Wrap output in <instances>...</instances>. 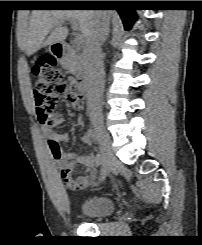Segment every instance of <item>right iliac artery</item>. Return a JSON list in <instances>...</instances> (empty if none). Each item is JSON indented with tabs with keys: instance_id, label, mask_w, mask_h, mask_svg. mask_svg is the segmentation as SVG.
<instances>
[{
	"instance_id": "obj_1",
	"label": "right iliac artery",
	"mask_w": 202,
	"mask_h": 245,
	"mask_svg": "<svg viewBox=\"0 0 202 245\" xmlns=\"http://www.w3.org/2000/svg\"><path fill=\"white\" fill-rule=\"evenodd\" d=\"M87 134H88V136H89V137H90L96 144H99L97 132H96V129H95L94 127H92V126L89 127V128L87 129ZM103 158H104V155H103L102 149H101V147H99V151H98V153H97V155H96V158H95L96 163H97L98 165H100V164L102 163V161H103Z\"/></svg>"
}]
</instances>
